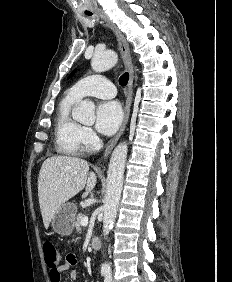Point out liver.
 I'll return each mask as SVG.
<instances>
[{
  "label": "liver",
  "instance_id": "liver-1",
  "mask_svg": "<svg viewBox=\"0 0 232 282\" xmlns=\"http://www.w3.org/2000/svg\"><path fill=\"white\" fill-rule=\"evenodd\" d=\"M96 175L89 172L88 162L70 156H53L46 159L38 177V197L43 224L48 229L59 207L85 188L83 197L92 191Z\"/></svg>",
  "mask_w": 232,
  "mask_h": 282
}]
</instances>
